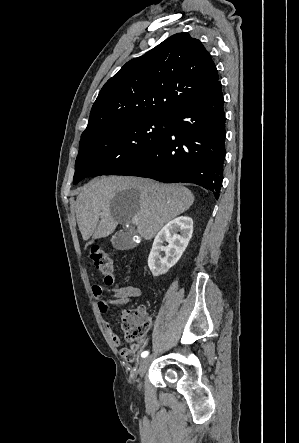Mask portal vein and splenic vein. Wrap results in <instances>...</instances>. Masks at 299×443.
<instances>
[{
	"label": "portal vein and splenic vein",
	"instance_id": "obj_1",
	"mask_svg": "<svg viewBox=\"0 0 299 443\" xmlns=\"http://www.w3.org/2000/svg\"><path fill=\"white\" fill-rule=\"evenodd\" d=\"M138 222H139V218L138 217H133L132 220H131L132 224H136L137 225Z\"/></svg>",
	"mask_w": 299,
	"mask_h": 443
}]
</instances>
